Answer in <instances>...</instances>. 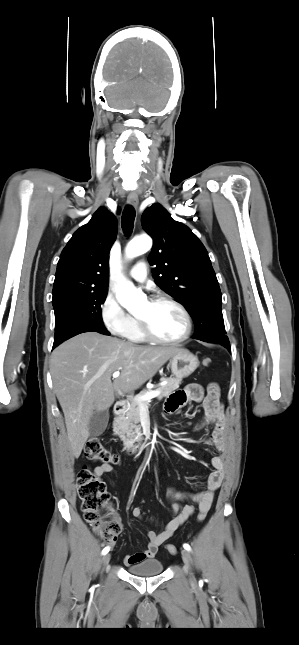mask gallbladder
Listing matches in <instances>:
<instances>
[{"mask_svg":"<svg viewBox=\"0 0 299 645\" xmlns=\"http://www.w3.org/2000/svg\"><path fill=\"white\" fill-rule=\"evenodd\" d=\"M109 421V411H95L89 422L90 436H99L107 428Z\"/></svg>","mask_w":299,"mask_h":645,"instance_id":"gallbladder-1","label":"gallbladder"}]
</instances>
